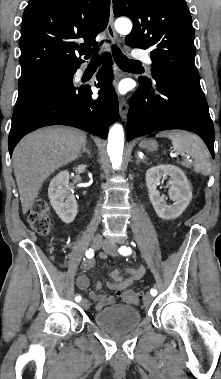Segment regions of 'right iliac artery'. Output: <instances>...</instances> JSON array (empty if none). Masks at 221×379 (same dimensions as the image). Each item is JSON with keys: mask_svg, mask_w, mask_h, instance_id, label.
<instances>
[{"mask_svg": "<svg viewBox=\"0 0 221 379\" xmlns=\"http://www.w3.org/2000/svg\"><path fill=\"white\" fill-rule=\"evenodd\" d=\"M86 257L87 258H92L93 256H94V251H93V249H88L87 251H86ZM75 301L76 302H79V301H81V296L80 295H77L76 297H75Z\"/></svg>", "mask_w": 221, "mask_h": 379, "instance_id": "obj_1", "label": "right iliac artery"}]
</instances>
